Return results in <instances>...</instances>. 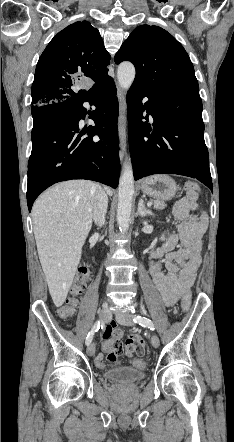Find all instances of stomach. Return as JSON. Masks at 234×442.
<instances>
[{
  "label": "stomach",
  "mask_w": 234,
  "mask_h": 442,
  "mask_svg": "<svg viewBox=\"0 0 234 442\" xmlns=\"http://www.w3.org/2000/svg\"><path fill=\"white\" fill-rule=\"evenodd\" d=\"M140 188L144 194L152 198L169 201L175 196L178 185L168 175H153L143 179Z\"/></svg>",
  "instance_id": "stomach-1"
}]
</instances>
